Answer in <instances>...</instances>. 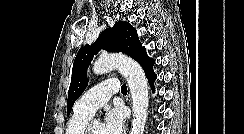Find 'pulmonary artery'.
Listing matches in <instances>:
<instances>
[{
	"label": "pulmonary artery",
	"instance_id": "1",
	"mask_svg": "<svg viewBox=\"0 0 244 134\" xmlns=\"http://www.w3.org/2000/svg\"><path fill=\"white\" fill-rule=\"evenodd\" d=\"M120 90L116 79L105 80L85 92L76 102L75 111L92 116L109 98Z\"/></svg>",
	"mask_w": 244,
	"mask_h": 134
}]
</instances>
